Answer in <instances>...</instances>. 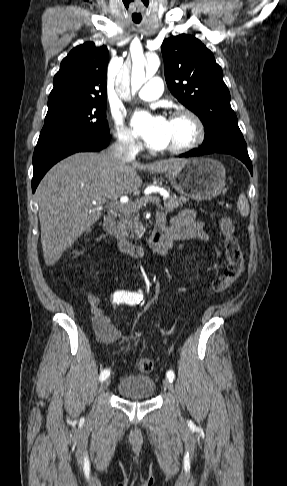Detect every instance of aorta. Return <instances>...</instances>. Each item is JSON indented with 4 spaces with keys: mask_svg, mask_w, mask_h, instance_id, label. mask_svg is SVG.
<instances>
[{
    "mask_svg": "<svg viewBox=\"0 0 287 486\" xmlns=\"http://www.w3.org/2000/svg\"><path fill=\"white\" fill-rule=\"evenodd\" d=\"M160 61L158 57H152L146 65V72L144 63L136 62L132 66V72L130 79L125 72L121 73L116 81V91L118 94L126 98L131 90L132 94H135L146 81V79L152 77L158 70Z\"/></svg>",
    "mask_w": 287,
    "mask_h": 486,
    "instance_id": "obj_1",
    "label": "aorta"
}]
</instances>
